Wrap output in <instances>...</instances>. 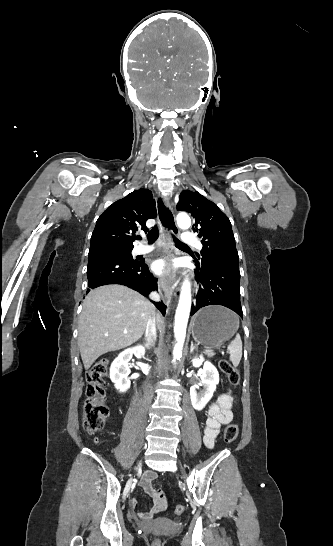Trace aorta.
Masks as SVG:
<instances>
[{
  "label": "aorta",
  "instance_id": "1",
  "mask_svg": "<svg viewBox=\"0 0 333 546\" xmlns=\"http://www.w3.org/2000/svg\"><path fill=\"white\" fill-rule=\"evenodd\" d=\"M177 224L182 229H188L191 225V219L186 213L177 215ZM191 308V284L185 279L182 284L179 304L175 315L174 335L175 346L173 349V362L182 358V350L186 337V328Z\"/></svg>",
  "mask_w": 333,
  "mask_h": 546
}]
</instances>
